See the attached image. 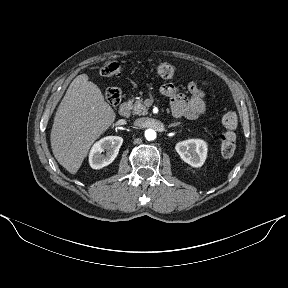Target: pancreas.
<instances>
[{"mask_svg":"<svg viewBox=\"0 0 288 288\" xmlns=\"http://www.w3.org/2000/svg\"><path fill=\"white\" fill-rule=\"evenodd\" d=\"M132 105V112L137 115H146L148 113L147 107L144 105L143 99L138 98L135 101H130Z\"/></svg>","mask_w":288,"mask_h":288,"instance_id":"cf45deb5","label":"pancreas"}]
</instances>
